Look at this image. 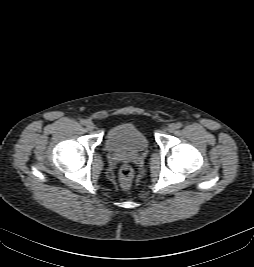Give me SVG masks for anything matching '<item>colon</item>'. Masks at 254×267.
<instances>
[{"mask_svg":"<svg viewBox=\"0 0 254 267\" xmlns=\"http://www.w3.org/2000/svg\"><path fill=\"white\" fill-rule=\"evenodd\" d=\"M119 179L122 187L128 188L133 179V169L129 165L122 166L119 172Z\"/></svg>","mask_w":254,"mask_h":267,"instance_id":"obj_1","label":"colon"}]
</instances>
